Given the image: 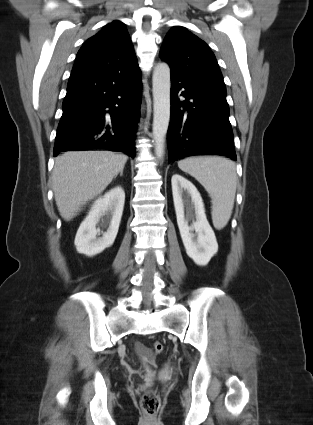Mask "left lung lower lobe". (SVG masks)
I'll use <instances>...</instances> for the list:
<instances>
[{"label":"left lung lower lobe","mask_w":313,"mask_h":425,"mask_svg":"<svg viewBox=\"0 0 313 425\" xmlns=\"http://www.w3.org/2000/svg\"><path fill=\"white\" fill-rule=\"evenodd\" d=\"M179 96L186 99L179 100ZM169 162L194 155L236 160L226 88L192 82L171 72Z\"/></svg>","instance_id":"0a47b994"}]
</instances>
